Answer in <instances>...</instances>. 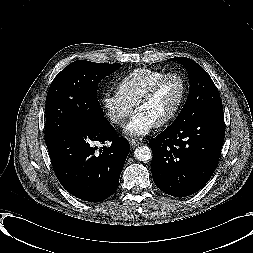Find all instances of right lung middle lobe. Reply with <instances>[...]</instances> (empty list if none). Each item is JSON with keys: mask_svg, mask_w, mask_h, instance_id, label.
Listing matches in <instances>:
<instances>
[{"mask_svg": "<svg viewBox=\"0 0 253 253\" xmlns=\"http://www.w3.org/2000/svg\"><path fill=\"white\" fill-rule=\"evenodd\" d=\"M121 66L78 60L57 74L46 97V143L76 123L108 121L97 99V85Z\"/></svg>", "mask_w": 253, "mask_h": 253, "instance_id": "1", "label": "right lung middle lobe"}]
</instances>
